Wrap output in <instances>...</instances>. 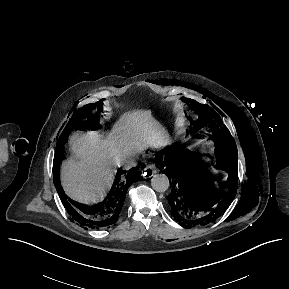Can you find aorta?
<instances>
[{
  "label": "aorta",
  "mask_w": 289,
  "mask_h": 289,
  "mask_svg": "<svg viewBox=\"0 0 289 289\" xmlns=\"http://www.w3.org/2000/svg\"><path fill=\"white\" fill-rule=\"evenodd\" d=\"M151 186L157 192H165L169 188V179L164 174H156L151 179Z\"/></svg>",
  "instance_id": "1"
}]
</instances>
